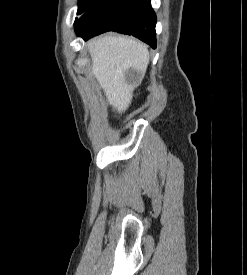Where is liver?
I'll use <instances>...</instances> for the list:
<instances>
[{
    "instance_id": "1",
    "label": "liver",
    "mask_w": 247,
    "mask_h": 275,
    "mask_svg": "<svg viewBox=\"0 0 247 275\" xmlns=\"http://www.w3.org/2000/svg\"><path fill=\"white\" fill-rule=\"evenodd\" d=\"M92 59V73L103 89L109 104L118 113L131 104L135 85L126 81L125 73L136 70L140 79L149 64V51L145 44L128 37L107 35L88 43Z\"/></svg>"
}]
</instances>
